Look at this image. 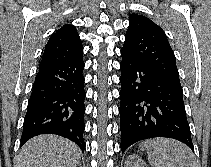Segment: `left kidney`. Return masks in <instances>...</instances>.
Listing matches in <instances>:
<instances>
[{"label": "left kidney", "instance_id": "left-kidney-1", "mask_svg": "<svg viewBox=\"0 0 211 167\" xmlns=\"http://www.w3.org/2000/svg\"><path fill=\"white\" fill-rule=\"evenodd\" d=\"M124 167H148L146 163L137 155L128 156Z\"/></svg>", "mask_w": 211, "mask_h": 167}]
</instances>
